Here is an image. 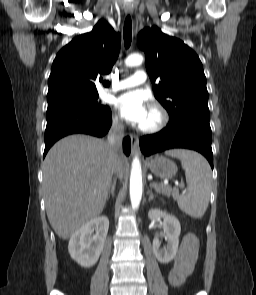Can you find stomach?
<instances>
[{
	"label": "stomach",
	"mask_w": 256,
	"mask_h": 295,
	"mask_svg": "<svg viewBox=\"0 0 256 295\" xmlns=\"http://www.w3.org/2000/svg\"><path fill=\"white\" fill-rule=\"evenodd\" d=\"M148 167L154 175L164 179L172 178L177 173L176 164L164 156H157L150 160Z\"/></svg>",
	"instance_id": "obj_1"
}]
</instances>
